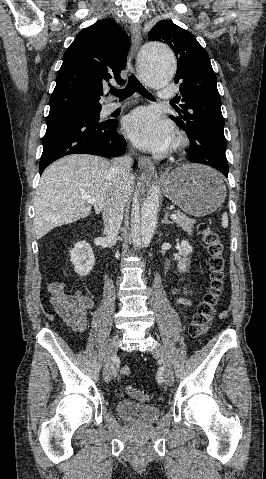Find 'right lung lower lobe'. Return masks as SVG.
Returning a JSON list of instances; mask_svg holds the SVG:
<instances>
[{
	"label": "right lung lower lobe",
	"mask_w": 266,
	"mask_h": 479,
	"mask_svg": "<svg viewBox=\"0 0 266 479\" xmlns=\"http://www.w3.org/2000/svg\"><path fill=\"white\" fill-rule=\"evenodd\" d=\"M46 123L40 174L65 155L82 153L113 157L125 152V139L116 130V120L98 122L88 116L59 111L49 113Z\"/></svg>",
	"instance_id": "right-lung-lower-lobe-1"
}]
</instances>
